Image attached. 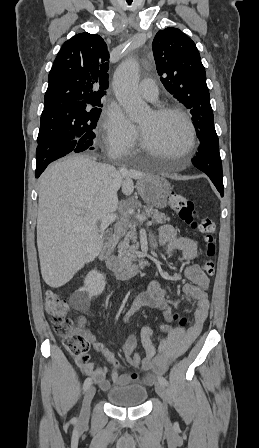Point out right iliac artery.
Segmentation results:
<instances>
[{
  "label": "right iliac artery",
  "mask_w": 259,
  "mask_h": 448,
  "mask_svg": "<svg viewBox=\"0 0 259 448\" xmlns=\"http://www.w3.org/2000/svg\"><path fill=\"white\" fill-rule=\"evenodd\" d=\"M91 384H92V379L89 378V377L86 378V380L84 381V384H83V390H84V391L87 390V389L91 386ZM73 420H74V422L77 421L76 418H74Z\"/></svg>",
  "instance_id": "obj_1"
}]
</instances>
